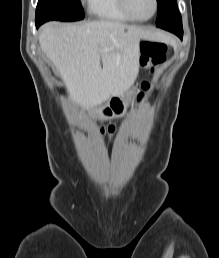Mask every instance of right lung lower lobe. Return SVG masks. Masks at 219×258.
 <instances>
[{
	"label": "right lung lower lobe",
	"instance_id": "obj_1",
	"mask_svg": "<svg viewBox=\"0 0 219 258\" xmlns=\"http://www.w3.org/2000/svg\"><path fill=\"white\" fill-rule=\"evenodd\" d=\"M41 24H36V27L38 28Z\"/></svg>",
	"mask_w": 219,
	"mask_h": 258
}]
</instances>
